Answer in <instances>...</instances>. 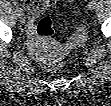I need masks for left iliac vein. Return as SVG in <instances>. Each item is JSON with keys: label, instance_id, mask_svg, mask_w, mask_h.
Returning <instances> with one entry per match:
<instances>
[{"label": "left iliac vein", "instance_id": "1", "mask_svg": "<svg viewBox=\"0 0 111 106\" xmlns=\"http://www.w3.org/2000/svg\"><path fill=\"white\" fill-rule=\"evenodd\" d=\"M95 6H96V2H95V1H91V2H89V4H88V8L91 9V10L94 9Z\"/></svg>", "mask_w": 111, "mask_h": 106}]
</instances>
